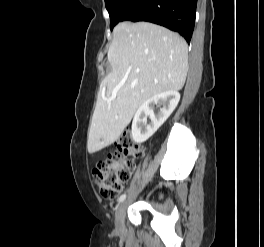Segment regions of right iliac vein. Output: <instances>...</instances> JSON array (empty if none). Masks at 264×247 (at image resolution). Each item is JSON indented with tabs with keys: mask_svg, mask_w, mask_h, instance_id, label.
<instances>
[{
	"mask_svg": "<svg viewBox=\"0 0 264 247\" xmlns=\"http://www.w3.org/2000/svg\"><path fill=\"white\" fill-rule=\"evenodd\" d=\"M126 207H127V203L124 201L118 206L116 213H115L116 230L119 232L124 231V220H125Z\"/></svg>",
	"mask_w": 264,
	"mask_h": 247,
	"instance_id": "1",
	"label": "right iliac vein"
}]
</instances>
